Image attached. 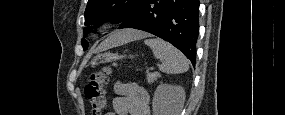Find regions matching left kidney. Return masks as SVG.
<instances>
[{"label": "left kidney", "instance_id": "obj_1", "mask_svg": "<svg viewBox=\"0 0 285 115\" xmlns=\"http://www.w3.org/2000/svg\"><path fill=\"white\" fill-rule=\"evenodd\" d=\"M185 102L181 86L160 84L153 96V115H179Z\"/></svg>", "mask_w": 285, "mask_h": 115}]
</instances>
